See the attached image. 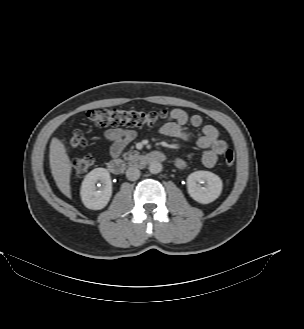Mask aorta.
<instances>
[{
    "instance_id": "aorta-1",
    "label": "aorta",
    "mask_w": 304,
    "mask_h": 329,
    "mask_svg": "<svg viewBox=\"0 0 304 329\" xmlns=\"http://www.w3.org/2000/svg\"><path fill=\"white\" fill-rule=\"evenodd\" d=\"M148 169H149L150 173L158 174L162 171V164L157 161H153L150 163Z\"/></svg>"
}]
</instances>
